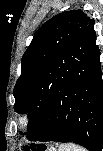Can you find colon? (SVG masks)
I'll return each mask as SVG.
<instances>
[{"label":"colon","mask_w":103,"mask_h":151,"mask_svg":"<svg viewBox=\"0 0 103 151\" xmlns=\"http://www.w3.org/2000/svg\"><path fill=\"white\" fill-rule=\"evenodd\" d=\"M24 151H46L43 147H35V148H28V147H25L24 148Z\"/></svg>","instance_id":"colon-1"}]
</instances>
